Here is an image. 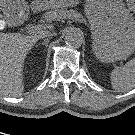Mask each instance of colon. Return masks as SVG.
<instances>
[{
  "label": "colon",
  "instance_id": "obj_1",
  "mask_svg": "<svg viewBox=\"0 0 135 135\" xmlns=\"http://www.w3.org/2000/svg\"><path fill=\"white\" fill-rule=\"evenodd\" d=\"M126 6L131 14H135V0H126Z\"/></svg>",
  "mask_w": 135,
  "mask_h": 135
}]
</instances>
